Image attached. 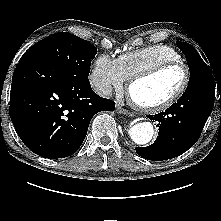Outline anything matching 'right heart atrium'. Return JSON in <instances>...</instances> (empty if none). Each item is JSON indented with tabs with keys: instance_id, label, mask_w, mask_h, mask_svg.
Wrapping results in <instances>:
<instances>
[{
	"instance_id": "right-heart-atrium-1",
	"label": "right heart atrium",
	"mask_w": 221,
	"mask_h": 221,
	"mask_svg": "<svg viewBox=\"0 0 221 221\" xmlns=\"http://www.w3.org/2000/svg\"><path fill=\"white\" fill-rule=\"evenodd\" d=\"M89 80L97 92L107 95L113 91H121L126 79L119 69L117 60L107 54H101L92 64Z\"/></svg>"
}]
</instances>
